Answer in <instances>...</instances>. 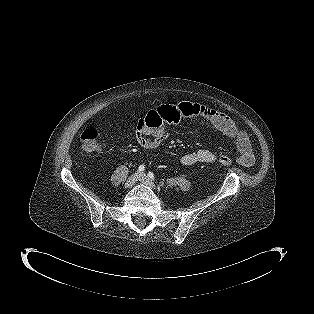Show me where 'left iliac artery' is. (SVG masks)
I'll return each mask as SVG.
<instances>
[{
	"label": "left iliac artery",
	"instance_id": "44dca946",
	"mask_svg": "<svg viewBox=\"0 0 314 314\" xmlns=\"http://www.w3.org/2000/svg\"><path fill=\"white\" fill-rule=\"evenodd\" d=\"M148 176H149V178L152 179V180L155 179V176H154V174H153L152 172H149V173H148Z\"/></svg>",
	"mask_w": 314,
	"mask_h": 314
}]
</instances>
